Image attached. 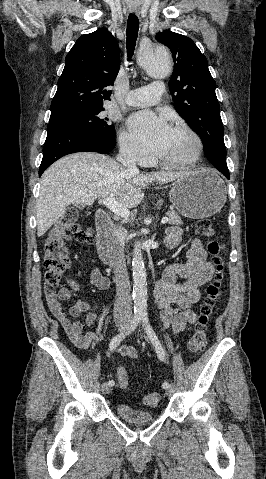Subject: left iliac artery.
Returning a JSON list of instances; mask_svg holds the SVG:
<instances>
[{
    "instance_id": "obj_1",
    "label": "left iliac artery",
    "mask_w": 266,
    "mask_h": 479,
    "mask_svg": "<svg viewBox=\"0 0 266 479\" xmlns=\"http://www.w3.org/2000/svg\"><path fill=\"white\" fill-rule=\"evenodd\" d=\"M141 320H142V323H143V326H144V330L145 332L147 333L149 339L151 340L153 346L155 347V350H156V353L159 357L160 360H164L165 358V351L158 339V337L156 336V333L154 332L153 328L151 327L150 323H149V319H148V315L147 313H143L141 315ZM170 385L168 382H164L162 384V387L163 388H168Z\"/></svg>"
}]
</instances>
